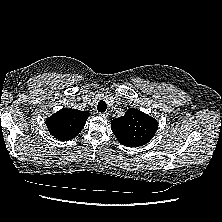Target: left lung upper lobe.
<instances>
[{"label":"left lung upper lobe","mask_w":222,"mask_h":222,"mask_svg":"<svg viewBox=\"0 0 222 222\" xmlns=\"http://www.w3.org/2000/svg\"><path fill=\"white\" fill-rule=\"evenodd\" d=\"M111 129L122 145L141 146L155 135L158 122L140 110L130 108L124 116L112 120Z\"/></svg>","instance_id":"left-lung-upper-lobe-1"}]
</instances>
